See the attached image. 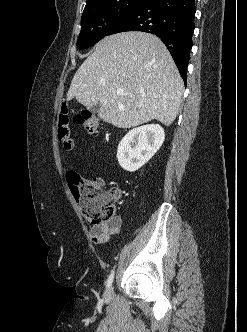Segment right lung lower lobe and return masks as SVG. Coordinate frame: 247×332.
Wrapping results in <instances>:
<instances>
[{
  "mask_svg": "<svg viewBox=\"0 0 247 332\" xmlns=\"http://www.w3.org/2000/svg\"><path fill=\"white\" fill-rule=\"evenodd\" d=\"M195 12V0H147L119 19L107 35L143 31L160 37L186 85Z\"/></svg>",
  "mask_w": 247,
  "mask_h": 332,
  "instance_id": "right-lung-lower-lobe-1",
  "label": "right lung lower lobe"
}]
</instances>
